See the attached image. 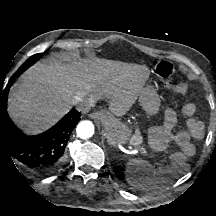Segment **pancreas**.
Here are the masks:
<instances>
[{
  "label": "pancreas",
  "mask_w": 216,
  "mask_h": 216,
  "mask_svg": "<svg viewBox=\"0 0 216 216\" xmlns=\"http://www.w3.org/2000/svg\"><path fill=\"white\" fill-rule=\"evenodd\" d=\"M131 142L135 145L138 146L142 143V137L139 134V132H136L135 135L132 137Z\"/></svg>",
  "instance_id": "1"
}]
</instances>
